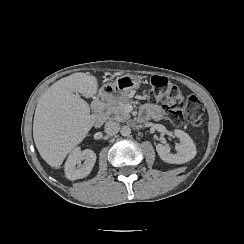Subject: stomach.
I'll return each mask as SVG.
<instances>
[{"instance_id": "1", "label": "stomach", "mask_w": 244, "mask_h": 244, "mask_svg": "<svg viewBox=\"0 0 244 244\" xmlns=\"http://www.w3.org/2000/svg\"><path fill=\"white\" fill-rule=\"evenodd\" d=\"M141 87V76L132 73H123L113 82L105 83L99 91L98 98L110 102L112 100H124L129 98L131 91Z\"/></svg>"}]
</instances>
